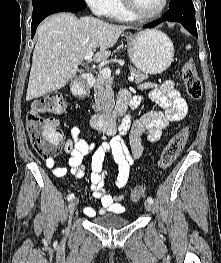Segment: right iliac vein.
<instances>
[{
	"instance_id": "right-iliac-vein-1",
	"label": "right iliac vein",
	"mask_w": 221,
	"mask_h": 263,
	"mask_svg": "<svg viewBox=\"0 0 221 263\" xmlns=\"http://www.w3.org/2000/svg\"><path fill=\"white\" fill-rule=\"evenodd\" d=\"M78 203H79V200L77 198L72 199L71 202L69 203V206H68L69 218L72 217L74 211L76 210L78 206Z\"/></svg>"
}]
</instances>
